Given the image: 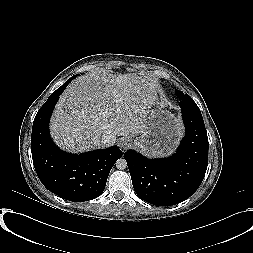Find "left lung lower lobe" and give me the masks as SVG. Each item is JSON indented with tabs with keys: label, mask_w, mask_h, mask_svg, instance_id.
Masks as SVG:
<instances>
[{
	"label": "left lung lower lobe",
	"mask_w": 253,
	"mask_h": 253,
	"mask_svg": "<svg viewBox=\"0 0 253 253\" xmlns=\"http://www.w3.org/2000/svg\"><path fill=\"white\" fill-rule=\"evenodd\" d=\"M186 134L171 157L148 159L134 150L124 154L136 194L144 201L169 206L189 198L200 186L208 165V137L199 107L181 99Z\"/></svg>",
	"instance_id": "left-lung-lower-lobe-1"
}]
</instances>
